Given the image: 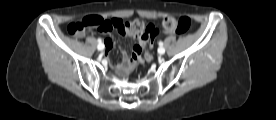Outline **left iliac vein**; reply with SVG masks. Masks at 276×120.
Returning a JSON list of instances; mask_svg holds the SVG:
<instances>
[{
  "label": "left iliac vein",
  "mask_w": 276,
  "mask_h": 120,
  "mask_svg": "<svg viewBox=\"0 0 276 120\" xmlns=\"http://www.w3.org/2000/svg\"><path fill=\"white\" fill-rule=\"evenodd\" d=\"M158 53H159L160 55L164 54V53H165V49H164L163 47H159Z\"/></svg>",
  "instance_id": "obj_1"
}]
</instances>
